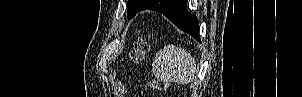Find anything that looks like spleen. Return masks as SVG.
Here are the masks:
<instances>
[{
  "label": "spleen",
  "mask_w": 302,
  "mask_h": 97,
  "mask_svg": "<svg viewBox=\"0 0 302 97\" xmlns=\"http://www.w3.org/2000/svg\"><path fill=\"white\" fill-rule=\"evenodd\" d=\"M153 73L161 81L187 84L195 78L196 62L186 50L168 45L157 54Z\"/></svg>",
  "instance_id": "obj_1"
}]
</instances>
